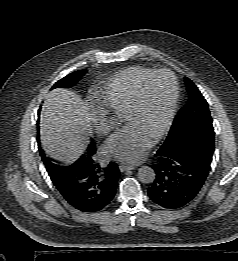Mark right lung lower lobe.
<instances>
[{
  "instance_id": "1",
  "label": "right lung lower lobe",
  "mask_w": 238,
  "mask_h": 261,
  "mask_svg": "<svg viewBox=\"0 0 238 261\" xmlns=\"http://www.w3.org/2000/svg\"><path fill=\"white\" fill-rule=\"evenodd\" d=\"M38 144L40 150L39 139ZM94 154L95 149L89 150L55 177L49 175L63 198L77 210L87 213L109 206L116 194L120 176L114 162L102 168L95 161Z\"/></svg>"
}]
</instances>
